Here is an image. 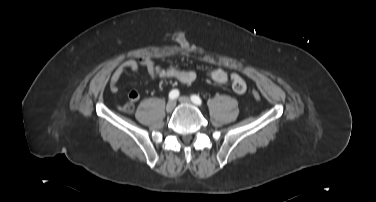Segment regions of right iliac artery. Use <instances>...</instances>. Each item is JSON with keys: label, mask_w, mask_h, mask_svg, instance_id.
<instances>
[{"label": "right iliac artery", "mask_w": 376, "mask_h": 202, "mask_svg": "<svg viewBox=\"0 0 376 202\" xmlns=\"http://www.w3.org/2000/svg\"><path fill=\"white\" fill-rule=\"evenodd\" d=\"M178 96H179V90H177V89H174V90L170 91V93H169V98L171 100L176 99Z\"/></svg>", "instance_id": "right-iliac-artery-1"}]
</instances>
